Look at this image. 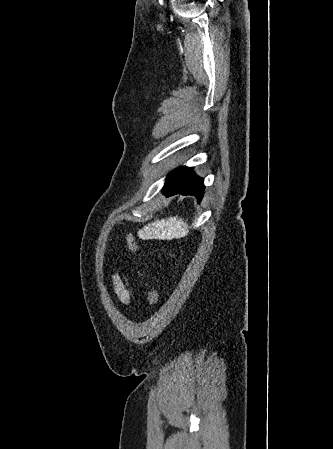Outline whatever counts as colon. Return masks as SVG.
Returning <instances> with one entry per match:
<instances>
[{
  "label": "colon",
  "instance_id": "5ec220e1",
  "mask_svg": "<svg viewBox=\"0 0 333 449\" xmlns=\"http://www.w3.org/2000/svg\"><path fill=\"white\" fill-rule=\"evenodd\" d=\"M125 241L127 243L128 248L135 254L141 255V247L136 240V238L132 234H127L125 236ZM159 301V293L155 288H150L148 290V302L150 305H156Z\"/></svg>",
  "mask_w": 333,
  "mask_h": 449
}]
</instances>
